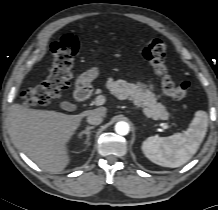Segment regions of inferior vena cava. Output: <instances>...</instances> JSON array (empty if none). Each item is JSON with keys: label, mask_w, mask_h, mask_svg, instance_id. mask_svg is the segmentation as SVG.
<instances>
[{"label": "inferior vena cava", "mask_w": 218, "mask_h": 210, "mask_svg": "<svg viewBox=\"0 0 218 210\" xmlns=\"http://www.w3.org/2000/svg\"><path fill=\"white\" fill-rule=\"evenodd\" d=\"M103 121V116L96 113V112H91L88 116H87V122L89 124L92 125H99L101 124Z\"/></svg>", "instance_id": "1"}]
</instances>
